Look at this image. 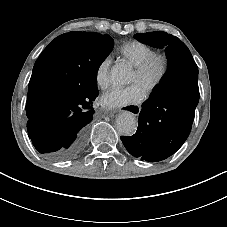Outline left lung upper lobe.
Here are the masks:
<instances>
[{
  "mask_svg": "<svg viewBox=\"0 0 227 227\" xmlns=\"http://www.w3.org/2000/svg\"><path fill=\"white\" fill-rule=\"evenodd\" d=\"M135 38L147 45L157 48H165L166 56L168 59L167 71L173 65L174 57L178 52L186 51L187 53L191 54L187 46L182 41H180L179 38L166 32H149L136 34Z\"/></svg>",
  "mask_w": 227,
  "mask_h": 227,
  "instance_id": "1",
  "label": "left lung upper lobe"
}]
</instances>
